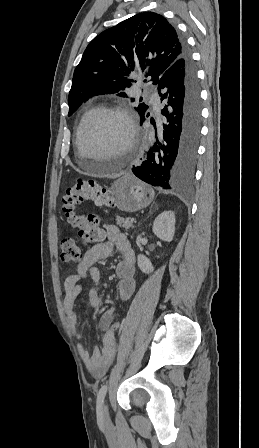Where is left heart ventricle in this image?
Returning <instances> with one entry per match:
<instances>
[{"label":"left heart ventricle","instance_id":"left-heart-ventricle-1","mask_svg":"<svg viewBox=\"0 0 259 448\" xmlns=\"http://www.w3.org/2000/svg\"><path fill=\"white\" fill-rule=\"evenodd\" d=\"M129 137L126 121L111 113L99 118L86 135L87 149L82 151V162H104L118 155L117 148Z\"/></svg>","mask_w":259,"mask_h":448}]
</instances>
